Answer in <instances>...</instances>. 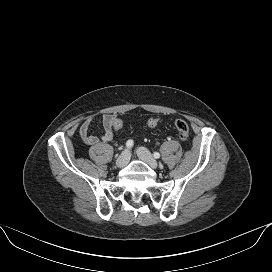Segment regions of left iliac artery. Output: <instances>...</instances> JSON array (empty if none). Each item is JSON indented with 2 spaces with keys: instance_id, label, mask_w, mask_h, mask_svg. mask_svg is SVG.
Here are the masks:
<instances>
[{
  "instance_id": "left-iliac-artery-1",
  "label": "left iliac artery",
  "mask_w": 272,
  "mask_h": 272,
  "mask_svg": "<svg viewBox=\"0 0 272 272\" xmlns=\"http://www.w3.org/2000/svg\"><path fill=\"white\" fill-rule=\"evenodd\" d=\"M153 156H154V158H156V159L160 158V154H159L158 152H154Z\"/></svg>"
}]
</instances>
